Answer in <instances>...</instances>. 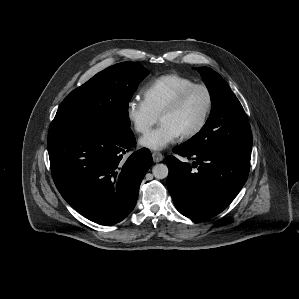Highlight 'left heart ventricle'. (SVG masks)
Listing matches in <instances>:
<instances>
[{"mask_svg":"<svg viewBox=\"0 0 299 299\" xmlns=\"http://www.w3.org/2000/svg\"><path fill=\"white\" fill-rule=\"evenodd\" d=\"M206 102L205 93L200 89H195L177 110L162 116L160 123L171 124L183 134L199 123L205 111Z\"/></svg>","mask_w":299,"mask_h":299,"instance_id":"1","label":"left heart ventricle"}]
</instances>
